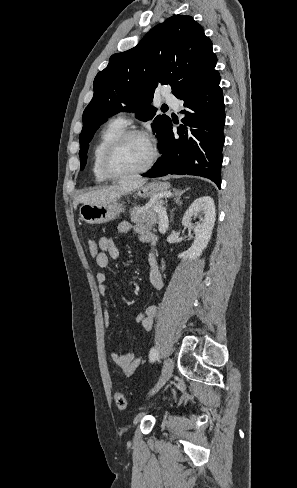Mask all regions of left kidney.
<instances>
[{"mask_svg": "<svg viewBox=\"0 0 297 488\" xmlns=\"http://www.w3.org/2000/svg\"><path fill=\"white\" fill-rule=\"evenodd\" d=\"M197 216L201 218V222L193 224L192 220ZM215 216V204L211 197L204 196L194 200L186 210L182 224L189 230H193L195 239L192 246L186 252L179 254L178 258L194 260L202 254L211 239Z\"/></svg>", "mask_w": 297, "mask_h": 488, "instance_id": "5707ae66", "label": "left kidney"}]
</instances>
